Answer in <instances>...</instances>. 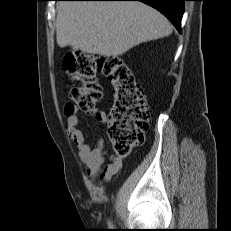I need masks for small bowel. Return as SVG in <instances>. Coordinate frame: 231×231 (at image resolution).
Instances as JSON below:
<instances>
[{"label": "small bowel", "instance_id": "c3829d8e", "mask_svg": "<svg viewBox=\"0 0 231 231\" xmlns=\"http://www.w3.org/2000/svg\"><path fill=\"white\" fill-rule=\"evenodd\" d=\"M67 116V128L71 140L78 148V156L81 162L87 167L88 173L92 178H96L99 174L108 181L115 175L120 167L121 160L116 156L111 157V162L102 169L105 159V145L104 140L99 137L93 145H90L85 138L84 132L81 130V120L78 111L72 105L65 107ZM92 115L97 121L107 123V117L102 111L93 110Z\"/></svg>", "mask_w": 231, "mask_h": 231}]
</instances>
